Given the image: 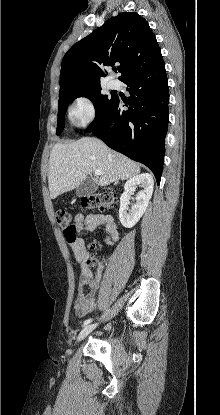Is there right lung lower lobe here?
Masks as SVG:
<instances>
[{"label":"right lung lower lobe","instance_id":"obj_1","mask_svg":"<svg viewBox=\"0 0 220 415\" xmlns=\"http://www.w3.org/2000/svg\"><path fill=\"white\" fill-rule=\"evenodd\" d=\"M122 82L131 96L124 104L115 96L105 120L91 131L110 148L146 165L159 184L169 119L164 61L126 77ZM122 106L128 109L122 110Z\"/></svg>","mask_w":220,"mask_h":415}]
</instances>
